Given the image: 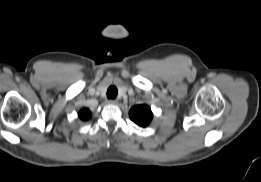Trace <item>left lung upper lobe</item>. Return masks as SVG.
<instances>
[{"instance_id": "1", "label": "left lung upper lobe", "mask_w": 261, "mask_h": 182, "mask_svg": "<svg viewBox=\"0 0 261 182\" xmlns=\"http://www.w3.org/2000/svg\"><path fill=\"white\" fill-rule=\"evenodd\" d=\"M129 116L137 125L146 127L152 119V112L147 105H136L131 108Z\"/></svg>"}]
</instances>
